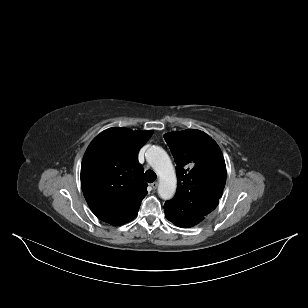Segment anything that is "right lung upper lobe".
Returning a JSON list of instances; mask_svg holds the SVG:
<instances>
[{
	"label": "right lung upper lobe",
	"instance_id": "obj_1",
	"mask_svg": "<svg viewBox=\"0 0 308 308\" xmlns=\"http://www.w3.org/2000/svg\"><path fill=\"white\" fill-rule=\"evenodd\" d=\"M152 132L109 128L90 143L81 164V186L92 212L121 225L138 213L147 194L138 152Z\"/></svg>",
	"mask_w": 308,
	"mask_h": 308
}]
</instances>
